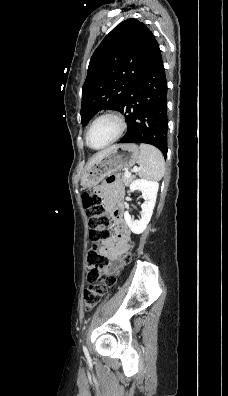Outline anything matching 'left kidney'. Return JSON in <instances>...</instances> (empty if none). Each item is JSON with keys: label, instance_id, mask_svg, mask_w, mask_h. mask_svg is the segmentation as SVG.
Instances as JSON below:
<instances>
[{"label": "left kidney", "instance_id": "1", "mask_svg": "<svg viewBox=\"0 0 228 396\" xmlns=\"http://www.w3.org/2000/svg\"><path fill=\"white\" fill-rule=\"evenodd\" d=\"M158 188L159 183L151 180L137 179L131 183L130 191H141L144 199V202L141 205L142 212L139 220H134L128 211L124 213V219L133 233L141 234L150 222L156 203Z\"/></svg>", "mask_w": 228, "mask_h": 396}]
</instances>
